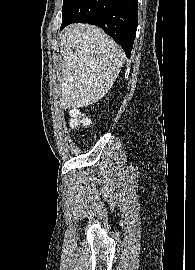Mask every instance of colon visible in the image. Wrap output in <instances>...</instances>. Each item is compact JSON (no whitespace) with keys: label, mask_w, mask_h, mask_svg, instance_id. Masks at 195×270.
Segmentation results:
<instances>
[{"label":"colon","mask_w":195,"mask_h":270,"mask_svg":"<svg viewBox=\"0 0 195 270\" xmlns=\"http://www.w3.org/2000/svg\"><path fill=\"white\" fill-rule=\"evenodd\" d=\"M88 125L89 120L78 110H72L70 112V126L72 128H86Z\"/></svg>","instance_id":"1"}]
</instances>
